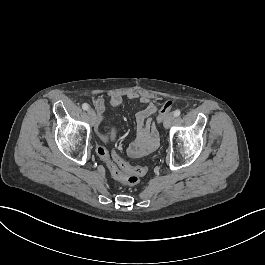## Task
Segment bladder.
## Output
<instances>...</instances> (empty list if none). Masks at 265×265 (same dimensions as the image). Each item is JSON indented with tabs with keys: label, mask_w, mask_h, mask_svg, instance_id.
<instances>
[{
	"label": "bladder",
	"mask_w": 265,
	"mask_h": 265,
	"mask_svg": "<svg viewBox=\"0 0 265 265\" xmlns=\"http://www.w3.org/2000/svg\"><path fill=\"white\" fill-rule=\"evenodd\" d=\"M99 135L103 141L108 143L116 138L117 131L113 126L106 124L101 128Z\"/></svg>",
	"instance_id": "31cf9c89"
}]
</instances>
